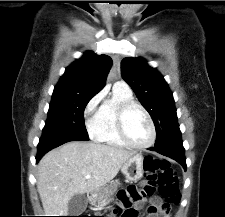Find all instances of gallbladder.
I'll return each instance as SVG.
<instances>
[{
  "label": "gallbladder",
  "mask_w": 225,
  "mask_h": 217,
  "mask_svg": "<svg viewBox=\"0 0 225 217\" xmlns=\"http://www.w3.org/2000/svg\"><path fill=\"white\" fill-rule=\"evenodd\" d=\"M88 204V200L83 194H75L68 203L69 216H79L82 214Z\"/></svg>",
  "instance_id": "bac80fb5"
}]
</instances>
